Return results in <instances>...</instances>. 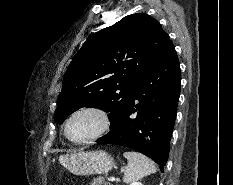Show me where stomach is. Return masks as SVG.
<instances>
[{"label":"stomach","mask_w":233,"mask_h":185,"mask_svg":"<svg viewBox=\"0 0 233 185\" xmlns=\"http://www.w3.org/2000/svg\"><path fill=\"white\" fill-rule=\"evenodd\" d=\"M59 161L69 172L79 176L104 174L114 165L112 156L104 150H78L60 156Z\"/></svg>","instance_id":"1"}]
</instances>
